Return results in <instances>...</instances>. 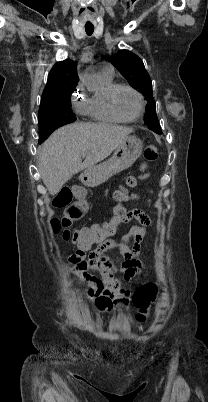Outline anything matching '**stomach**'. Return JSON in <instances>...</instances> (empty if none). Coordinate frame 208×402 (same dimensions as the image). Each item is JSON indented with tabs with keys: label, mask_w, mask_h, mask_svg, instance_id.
Returning <instances> with one entry per match:
<instances>
[{
	"label": "stomach",
	"mask_w": 208,
	"mask_h": 402,
	"mask_svg": "<svg viewBox=\"0 0 208 402\" xmlns=\"http://www.w3.org/2000/svg\"><path fill=\"white\" fill-rule=\"evenodd\" d=\"M143 150V144L139 138L136 136H128L123 144H120L116 148L112 158L94 166V168H89L86 170L82 176H80L81 182L84 186L88 188H95V186H100L103 182H106L108 178H112L115 174L123 172L130 168L139 156H141Z\"/></svg>",
	"instance_id": "0dacf381"
}]
</instances>
